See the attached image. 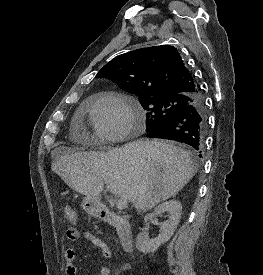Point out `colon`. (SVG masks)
Returning <instances> with one entry per match:
<instances>
[{
    "label": "colon",
    "mask_w": 263,
    "mask_h": 275,
    "mask_svg": "<svg viewBox=\"0 0 263 275\" xmlns=\"http://www.w3.org/2000/svg\"><path fill=\"white\" fill-rule=\"evenodd\" d=\"M63 215L64 218L70 223H74L77 220L76 210L69 205L63 207Z\"/></svg>",
    "instance_id": "colon-1"
}]
</instances>
